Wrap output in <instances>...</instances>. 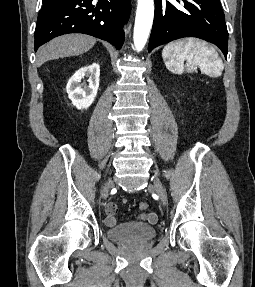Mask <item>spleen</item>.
Listing matches in <instances>:
<instances>
[{
  "label": "spleen",
  "instance_id": "1",
  "mask_svg": "<svg viewBox=\"0 0 255 287\" xmlns=\"http://www.w3.org/2000/svg\"><path fill=\"white\" fill-rule=\"evenodd\" d=\"M162 58L171 72L182 74L184 60H188V68L201 66L202 72L209 74L211 78H219L223 72V62L214 48L206 46V42L197 38L176 40L163 48Z\"/></svg>",
  "mask_w": 255,
  "mask_h": 287
}]
</instances>
